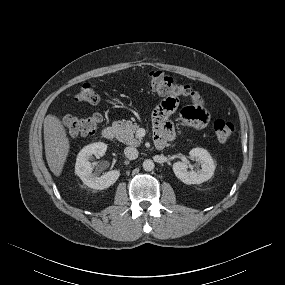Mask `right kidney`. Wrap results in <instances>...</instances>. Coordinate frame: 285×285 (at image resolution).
<instances>
[{"instance_id": "ca27d5eb", "label": "right kidney", "mask_w": 285, "mask_h": 285, "mask_svg": "<svg viewBox=\"0 0 285 285\" xmlns=\"http://www.w3.org/2000/svg\"><path fill=\"white\" fill-rule=\"evenodd\" d=\"M107 150V145L96 142L85 146L77 155L75 164V174L88 187L96 190H103L113 185L120 176L119 170H112L104 173L100 177L92 173V165L89 161L92 155L103 156Z\"/></svg>"}]
</instances>
